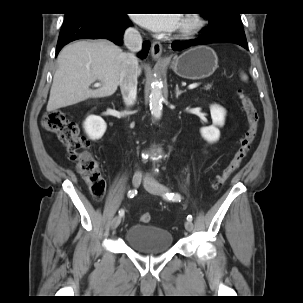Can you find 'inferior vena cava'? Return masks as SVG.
<instances>
[{
    "label": "inferior vena cava",
    "instance_id": "1",
    "mask_svg": "<svg viewBox=\"0 0 303 303\" xmlns=\"http://www.w3.org/2000/svg\"><path fill=\"white\" fill-rule=\"evenodd\" d=\"M124 43L129 52L124 53L119 85L126 106H131L136 101L138 58L136 53L142 49V37L139 31L129 27L124 33Z\"/></svg>",
    "mask_w": 303,
    "mask_h": 303
}]
</instances>
